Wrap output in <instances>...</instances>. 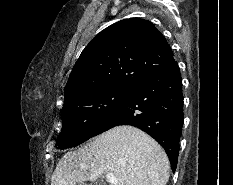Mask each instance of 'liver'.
I'll return each mask as SVG.
<instances>
[{"label": "liver", "instance_id": "liver-1", "mask_svg": "<svg viewBox=\"0 0 233 185\" xmlns=\"http://www.w3.org/2000/svg\"><path fill=\"white\" fill-rule=\"evenodd\" d=\"M169 169L165 151L153 138L135 127L117 126L65 153L51 185H84L108 173L117 179L110 185H166Z\"/></svg>", "mask_w": 233, "mask_h": 185}]
</instances>
